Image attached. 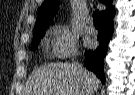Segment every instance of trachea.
Segmentation results:
<instances>
[{"instance_id": "3493384b", "label": "trachea", "mask_w": 135, "mask_h": 95, "mask_svg": "<svg viewBox=\"0 0 135 95\" xmlns=\"http://www.w3.org/2000/svg\"><path fill=\"white\" fill-rule=\"evenodd\" d=\"M93 22L95 26H100V15H99V10H95L93 12Z\"/></svg>"}]
</instances>
